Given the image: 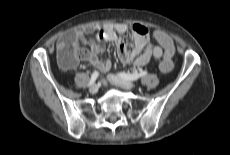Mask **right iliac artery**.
<instances>
[{
    "instance_id": "1",
    "label": "right iliac artery",
    "mask_w": 230,
    "mask_h": 155,
    "mask_svg": "<svg viewBox=\"0 0 230 155\" xmlns=\"http://www.w3.org/2000/svg\"><path fill=\"white\" fill-rule=\"evenodd\" d=\"M99 73L97 71H94L91 75L90 81L88 83V86H91L95 83L96 79L98 78Z\"/></svg>"
}]
</instances>
